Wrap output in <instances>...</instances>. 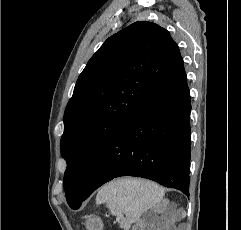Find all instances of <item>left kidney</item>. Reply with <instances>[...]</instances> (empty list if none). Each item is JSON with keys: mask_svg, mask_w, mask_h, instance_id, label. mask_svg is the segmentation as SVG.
Returning a JSON list of instances; mask_svg holds the SVG:
<instances>
[{"mask_svg": "<svg viewBox=\"0 0 241 230\" xmlns=\"http://www.w3.org/2000/svg\"><path fill=\"white\" fill-rule=\"evenodd\" d=\"M134 230H138V229H134ZM139 230H145V227H144V225H140V228H139Z\"/></svg>", "mask_w": 241, "mask_h": 230, "instance_id": "left-kidney-1", "label": "left kidney"}]
</instances>
